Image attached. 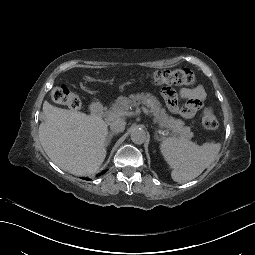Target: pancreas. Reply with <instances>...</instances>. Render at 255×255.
Instances as JSON below:
<instances>
[{
    "label": "pancreas",
    "mask_w": 255,
    "mask_h": 255,
    "mask_svg": "<svg viewBox=\"0 0 255 255\" xmlns=\"http://www.w3.org/2000/svg\"><path fill=\"white\" fill-rule=\"evenodd\" d=\"M153 104L150 110L151 114L155 117V122L159 123L162 128L169 129L172 133L179 134L180 136L191 138L193 134L190 132L189 127H184V123L180 120L173 119L166 115L165 110L162 108L156 97L149 93H142L137 95H130L129 97H118L116 103L112 107V115L114 118L122 116L129 107H137L140 104H145L150 107L149 103ZM108 115L111 111H107Z\"/></svg>",
    "instance_id": "pancreas-1"
}]
</instances>
